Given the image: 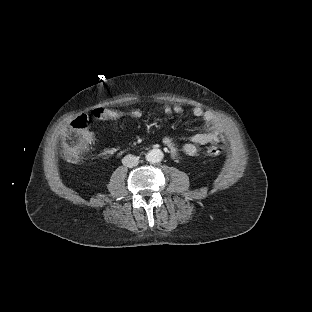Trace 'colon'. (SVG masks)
<instances>
[{"label": "colon", "mask_w": 312, "mask_h": 312, "mask_svg": "<svg viewBox=\"0 0 312 312\" xmlns=\"http://www.w3.org/2000/svg\"><path fill=\"white\" fill-rule=\"evenodd\" d=\"M92 117L97 122H106L110 119L109 114L101 109L93 110ZM71 127L63 139V152L69 162H79L83 159L87 151L93 147L94 137L87 129V120L82 116L75 117L71 122ZM208 153L212 156L219 155V146H210Z\"/></svg>", "instance_id": "5ec220e1"}]
</instances>
